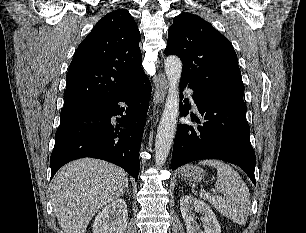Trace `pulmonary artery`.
Here are the masks:
<instances>
[{
    "label": "pulmonary artery",
    "mask_w": 306,
    "mask_h": 233,
    "mask_svg": "<svg viewBox=\"0 0 306 233\" xmlns=\"http://www.w3.org/2000/svg\"><path fill=\"white\" fill-rule=\"evenodd\" d=\"M185 92L186 94L191 98L192 100V94H193V90L191 88H185ZM193 101V100H192ZM195 106V105H194Z\"/></svg>",
    "instance_id": "pulmonary-artery-1"
}]
</instances>
